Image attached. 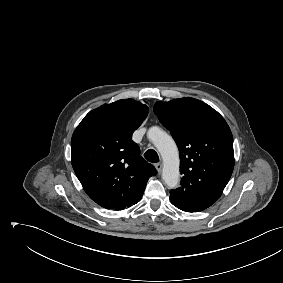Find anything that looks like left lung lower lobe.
I'll return each mask as SVG.
<instances>
[{"label":"left lung lower lobe","mask_w":283,"mask_h":283,"mask_svg":"<svg viewBox=\"0 0 283 283\" xmlns=\"http://www.w3.org/2000/svg\"><path fill=\"white\" fill-rule=\"evenodd\" d=\"M171 203L177 207L178 209H181L182 211L185 212H193L192 210H190L188 207L181 205L180 203H178L177 201L173 200L172 198H170Z\"/></svg>","instance_id":"obj_1"}]
</instances>
